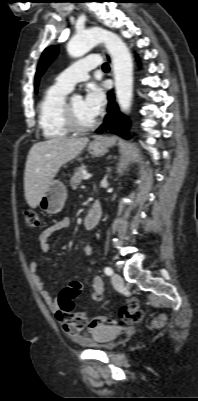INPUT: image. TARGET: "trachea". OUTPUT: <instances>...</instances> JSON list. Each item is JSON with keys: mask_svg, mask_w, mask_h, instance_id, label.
<instances>
[{"mask_svg": "<svg viewBox=\"0 0 198 401\" xmlns=\"http://www.w3.org/2000/svg\"><path fill=\"white\" fill-rule=\"evenodd\" d=\"M102 68H103L104 71H108L110 69L109 65L107 63H104Z\"/></svg>", "mask_w": 198, "mask_h": 401, "instance_id": "3493384b", "label": "trachea"}]
</instances>
